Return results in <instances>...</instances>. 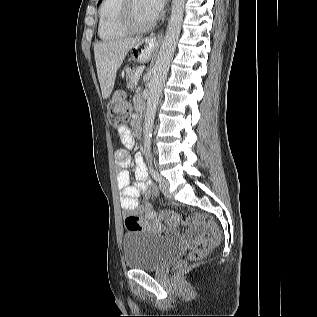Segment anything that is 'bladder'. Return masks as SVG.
<instances>
[{"label":"bladder","instance_id":"1","mask_svg":"<svg viewBox=\"0 0 317 317\" xmlns=\"http://www.w3.org/2000/svg\"><path fill=\"white\" fill-rule=\"evenodd\" d=\"M175 253V246L170 239L147 230L129 231L123 238L125 265L132 270L162 268Z\"/></svg>","mask_w":317,"mask_h":317}]
</instances>
